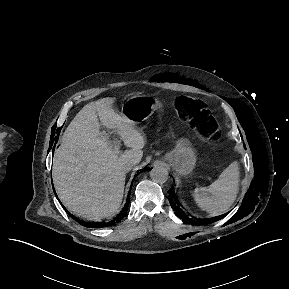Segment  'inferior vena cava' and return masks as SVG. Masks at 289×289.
Here are the masks:
<instances>
[{"label":"inferior vena cava","instance_id":"obj_1","mask_svg":"<svg viewBox=\"0 0 289 289\" xmlns=\"http://www.w3.org/2000/svg\"><path fill=\"white\" fill-rule=\"evenodd\" d=\"M133 165H134L133 163H126V164L123 165L122 170L125 173H127V172H129L131 170Z\"/></svg>","mask_w":289,"mask_h":289}]
</instances>
